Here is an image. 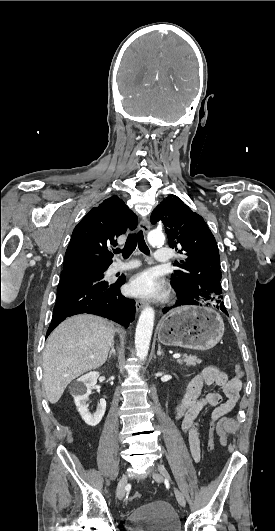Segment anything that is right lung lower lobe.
<instances>
[{"instance_id":"right-lung-lower-lobe-1","label":"right lung lower lobe","mask_w":275,"mask_h":531,"mask_svg":"<svg viewBox=\"0 0 275 531\" xmlns=\"http://www.w3.org/2000/svg\"><path fill=\"white\" fill-rule=\"evenodd\" d=\"M124 283L125 277L109 283L103 273L90 267L63 270L46 337L66 317L81 313L106 317L127 327L135 317V302L120 292Z\"/></svg>"}]
</instances>
